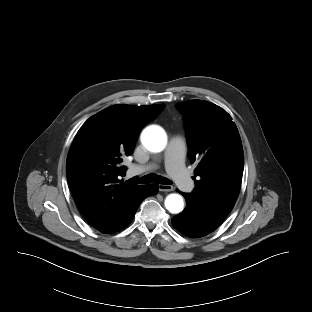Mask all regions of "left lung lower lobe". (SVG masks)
I'll list each match as a JSON object with an SVG mask.
<instances>
[{"label": "left lung lower lobe", "mask_w": 312, "mask_h": 312, "mask_svg": "<svg viewBox=\"0 0 312 312\" xmlns=\"http://www.w3.org/2000/svg\"><path fill=\"white\" fill-rule=\"evenodd\" d=\"M187 207L182 213L172 218V224L188 237H202L213 232L224 220L225 215L193 200L183 193Z\"/></svg>", "instance_id": "1"}]
</instances>
